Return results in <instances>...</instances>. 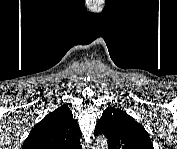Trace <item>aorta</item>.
Returning <instances> with one entry per match:
<instances>
[{
	"instance_id": "aorta-1",
	"label": "aorta",
	"mask_w": 177,
	"mask_h": 149,
	"mask_svg": "<svg viewBox=\"0 0 177 149\" xmlns=\"http://www.w3.org/2000/svg\"><path fill=\"white\" fill-rule=\"evenodd\" d=\"M97 144H101L104 148L107 147V141L104 138H100L99 140H97Z\"/></svg>"
}]
</instances>
